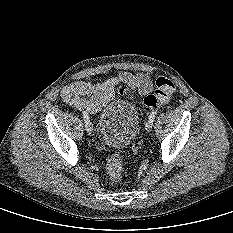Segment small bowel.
I'll list each match as a JSON object with an SVG mask.
<instances>
[{
    "label": "small bowel",
    "instance_id": "c3829d8e",
    "mask_svg": "<svg viewBox=\"0 0 233 233\" xmlns=\"http://www.w3.org/2000/svg\"><path fill=\"white\" fill-rule=\"evenodd\" d=\"M130 89H137L141 95H147L153 89L152 81L142 73L122 72L118 77L100 84L84 81L71 83L63 88L61 96L73 108L93 113L103 107L117 90L123 94Z\"/></svg>",
    "mask_w": 233,
    "mask_h": 233
}]
</instances>
